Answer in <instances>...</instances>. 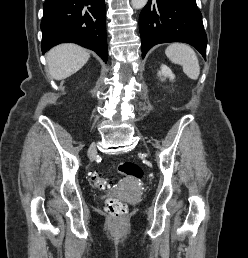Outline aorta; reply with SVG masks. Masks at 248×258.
Here are the masks:
<instances>
[{"label":"aorta","instance_id":"aorta-1","mask_svg":"<svg viewBox=\"0 0 248 258\" xmlns=\"http://www.w3.org/2000/svg\"><path fill=\"white\" fill-rule=\"evenodd\" d=\"M148 0H131L134 9H141L147 4Z\"/></svg>","mask_w":248,"mask_h":258}]
</instances>
